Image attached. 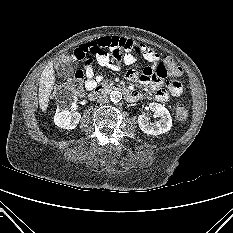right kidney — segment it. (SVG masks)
I'll use <instances>...</instances> for the list:
<instances>
[{"instance_id": "right-kidney-1", "label": "right kidney", "mask_w": 233, "mask_h": 233, "mask_svg": "<svg viewBox=\"0 0 233 233\" xmlns=\"http://www.w3.org/2000/svg\"><path fill=\"white\" fill-rule=\"evenodd\" d=\"M71 100L69 105L62 104L58 107L54 115V123L60 128L74 129L81 119V114L79 112L71 113L69 111L68 107L77 102V97L74 96Z\"/></svg>"}]
</instances>
